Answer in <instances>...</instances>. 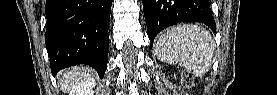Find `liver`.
I'll use <instances>...</instances> for the list:
<instances>
[{"instance_id":"6515ba94","label":"liver","mask_w":277,"mask_h":95,"mask_svg":"<svg viewBox=\"0 0 277 95\" xmlns=\"http://www.w3.org/2000/svg\"><path fill=\"white\" fill-rule=\"evenodd\" d=\"M58 79L60 81L61 90L64 93L70 90L71 95H74L79 93L81 82L91 78L89 70L82 67H74L62 71Z\"/></svg>"}]
</instances>
